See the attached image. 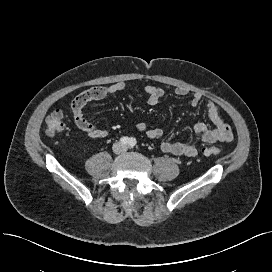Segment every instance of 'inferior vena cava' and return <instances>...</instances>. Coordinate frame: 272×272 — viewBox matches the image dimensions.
I'll list each match as a JSON object with an SVG mask.
<instances>
[{
    "mask_svg": "<svg viewBox=\"0 0 272 272\" xmlns=\"http://www.w3.org/2000/svg\"><path fill=\"white\" fill-rule=\"evenodd\" d=\"M113 149H114V151L117 152V153H120V152L125 151L124 145H122V144H120V143H115L114 146H113Z\"/></svg>",
    "mask_w": 272,
    "mask_h": 272,
    "instance_id": "obj_1",
    "label": "inferior vena cava"
}]
</instances>
